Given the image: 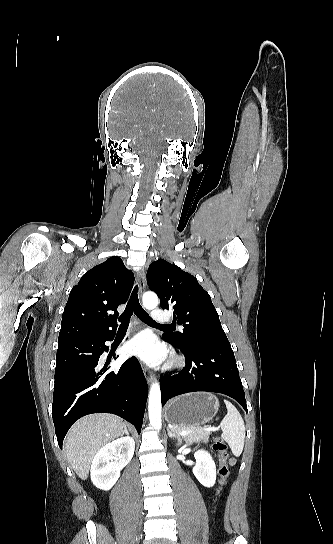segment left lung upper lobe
Masks as SVG:
<instances>
[{
  "label": "left lung upper lobe",
  "instance_id": "left-lung-upper-lobe-1",
  "mask_svg": "<svg viewBox=\"0 0 333 544\" xmlns=\"http://www.w3.org/2000/svg\"><path fill=\"white\" fill-rule=\"evenodd\" d=\"M147 282L161 307H172L174 320L183 326L182 332L163 334L169 343L183 350L204 343L230 346L211 298L196 277L159 259L149 266Z\"/></svg>",
  "mask_w": 333,
  "mask_h": 544
}]
</instances>
